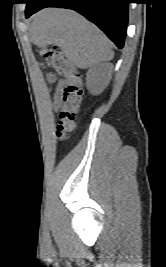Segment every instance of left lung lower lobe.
I'll list each match as a JSON object with an SVG mask.
<instances>
[{"mask_svg":"<svg viewBox=\"0 0 166 267\" xmlns=\"http://www.w3.org/2000/svg\"><path fill=\"white\" fill-rule=\"evenodd\" d=\"M130 0H27L26 18L50 6L75 10L93 23L122 48L126 36Z\"/></svg>","mask_w":166,"mask_h":267,"instance_id":"1","label":"left lung lower lobe"}]
</instances>
